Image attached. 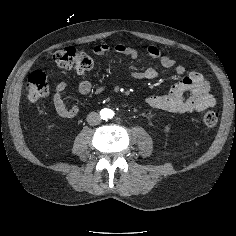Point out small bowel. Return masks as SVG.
Returning a JSON list of instances; mask_svg holds the SVG:
<instances>
[{"mask_svg":"<svg viewBox=\"0 0 236 236\" xmlns=\"http://www.w3.org/2000/svg\"><path fill=\"white\" fill-rule=\"evenodd\" d=\"M110 50L133 60L139 56L135 48L121 43L113 46L108 43H100L93 48V53L98 57H102ZM145 50L160 66L168 69L172 68L180 76V79L171 87L168 93L146 97L145 104L147 106L178 115L199 113L215 106L216 100L209 92V83L202 74L195 71L187 73L183 65L177 64L174 59L162 54L155 45L149 44ZM132 76L138 80H152L158 76V69L155 65H152L145 70L132 71ZM66 88L67 83L65 81H59L56 84L53 103L59 116L71 119L79 114V107L76 103H72L70 106L66 104L62 97V93ZM78 91L83 95L89 94L92 91V84L88 80H81L78 84ZM101 91H103V87L96 89L97 93ZM186 92L191 93V96L187 99L184 98Z\"/></svg>","mask_w":236,"mask_h":236,"instance_id":"1","label":"small bowel"}]
</instances>
